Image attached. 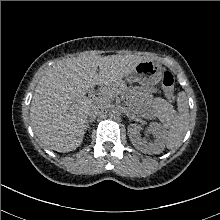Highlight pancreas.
Instances as JSON below:
<instances>
[{"mask_svg": "<svg viewBox=\"0 0 220 220\" xmlns=\"http://www.w3.org/2000/svg\"><path fill=\"white\" fill-rule=\"evenodd\" d=\"M120 91H124L125 88L124 86H121V88L119 89ZM117 92H113V91H109L107 93H105L103 95V99L104 101H109ZM154 107L155 110L159 116V118L162 121H169L170 119H172L173 115H174V110H173V106L171 104H169L166 100L164 99H159L157 101H155L154 103ZM172 115V117H171Z\"/></svg>", "mask_w": 220, "mask_h": 220, "instance_id": "1", "label": "pancreas"}]
</instances>
